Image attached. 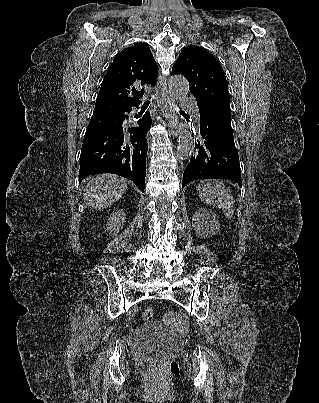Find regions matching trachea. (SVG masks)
<instances>
[{
	"instance_id": "trachea-1",
	"label": "trachea",
	"mask_w": 319,
	"mask_h": 403,
	"mask_svg": "<svg viewBox=\"0 0 319 403\" xmlns=\"http://www.w3.org/2000/svg\"><path fill=\"white\" fill-rule=\"evenodd\" d=\"M150 104V98H149V100H146L145 102H144V105H149Z\"/></svg>"
}]
</instances>
